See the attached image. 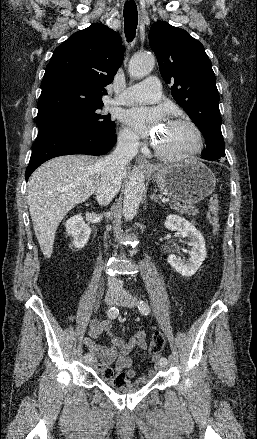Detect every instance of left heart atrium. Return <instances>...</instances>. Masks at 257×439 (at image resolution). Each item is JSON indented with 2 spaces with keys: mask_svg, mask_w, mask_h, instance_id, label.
<instances>
[{
  "mask_svg": "<svg viewBox=\"0 0 257 439\" xmlns=\"http://www.w3.org/2000/svg\"><path fill=\"white\" fill-rule=\"evenodd\" d=\"M161 118L160 110L147 108H132L123 115V120L139 133H148L152 124H158Z\"/></svg>",
  "mask_w": 257,
  "mask_h": 439,
  "instance_id": "left-heart-atrium-1",
  "label": "left heart atrium"
}]
</instances>
